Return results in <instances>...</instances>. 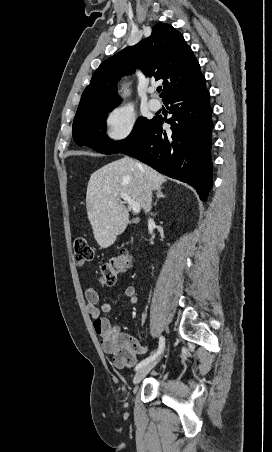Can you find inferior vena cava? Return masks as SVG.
<instances>
[{"label": "inferior vena cava", "mask_w": 272, "mask_h": 452, "mask_svg": "<svg viewBox=\"0 0 272 452\" xmlns=\"http://www.w3.org/2000/svg\"><path fill=\"white\" fill-rule=\"evenodd\" d=\"M144 202L145 213H148L152 208V189L149 186H146L144 190Z\"/></svg>", "instance_id": "602c4592"}]
</instances>
